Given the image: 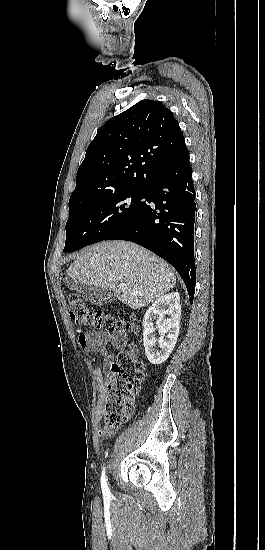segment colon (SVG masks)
I'll list each match as a JSON object with an SVG mask.
<instances>
[{
  "label": "colon",
  "instance_id": "5ec220e1",
  "mask_svg": "<svg viewBox=\"0 0 265 550\" xmlns=\"http://www.w3.org/2000/svg\"><path fill=\"white\" fill-rule=\"evenodd\" d=\"M72 319L94 331L125 333L135 331L134 316L117 317L102 310H93L76 294L68 298ZM111 375L103 402L104 423L107 428L122 426L133 413L135 397L144 379V365L137 358L134 346L118 352L110 366Z\"/></svg>",
  "mask_w": 265,
  "mask_h": 550
}]
</instances>
